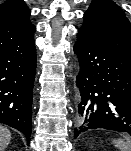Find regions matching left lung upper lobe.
<instances>
[{
	"label": "left lung upper lobe",
	"instance_id": "left-lung-upper-lobe-1",
	"mask_svg": "<svg viewBox=\"0 0 131 151\" xmlns=\"http://www.w3.org/2000/svg\"><path fill=\"white\" fill-rule=\"evenodd\" d=\"M82 35L131 57V26L122 9L111 0H92L84 13Z\"/></svg>",
	"mask_w": 131,
	"mask_h": 151
}]
</instances>
